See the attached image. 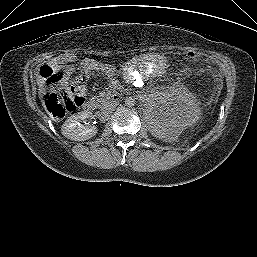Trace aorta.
Segmentation results:
<instances>
[{"mask_svg":"<svg viewBox=\"0 0 257 257\" xmlns=\"http://www.w3.org/2000/svg\"><path fill=\"white\" fill-rule=\"evenodd\" d=\"M125 104L127 107H133L135 105V99L133 97H127L125 99Z\"/></svg>","mask_w":257,"mask_h":257,"instance_id":"762f6f07","label":"aorta"}]
</instances>
